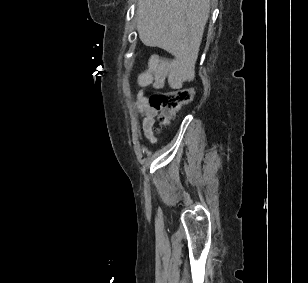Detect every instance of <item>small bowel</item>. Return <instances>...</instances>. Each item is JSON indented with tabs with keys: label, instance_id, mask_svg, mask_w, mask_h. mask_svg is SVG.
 <instances>
[{
	"label": "small bowel",
	"instance_id": "small-bowel-1",
	"mask_svg": "<svg viewBox=\"0 0 308 283\" xmlns=\"http://www.w3.org/2000/svg\"><path fill=\"white\" fill-rule=\"evenodd\" d=\"M193 74L194 67L192 63H183L177 59L161 57L152 58L148 68L139 73L137 83L142 90L137 94L136 107L139 113L144 115L142 129L149 142L154 143L156 141L152 126L155 122L157 111L149 106L144 89L152 87L156 90H161L168 81L175 84L181 80L190 79Z\"/></svg>",
	"mask_w": 308,
	"mask_h": 283
}]
</instances>
